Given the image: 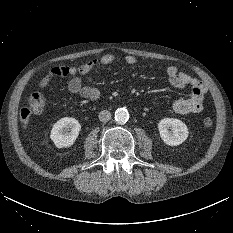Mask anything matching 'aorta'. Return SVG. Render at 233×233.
Instances as JSON below:
<instances>
[{"label": "aorta", "mask_w": 233, "mask_h": 233, "mask_svg": "<svg viewBox=\"0 0 233 233\" xmlns=\"http://www.w3.org/2000/svg\"><path fill=\"white\" fill-rule=\"evenodd\" d=\"M129 119V113L125 108H118L115 111V120L119 123H126Z\"/></svg>", "instance_id": "762f6f07"}]
</instances>
